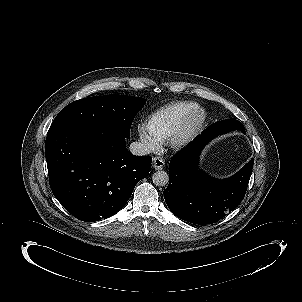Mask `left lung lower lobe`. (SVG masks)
<instances>
[{
  "mask_svg": "<svg viewBox=\"0 0 302 302\" xmlns=\"http://www.w3.org/2000/svg\"><path fill=\"white\" fill-rule=\"evenodd\" d=\"M219 135L209 126L174 155L169 164V185L165 202L178 218L194 224H211L232 211L244 198L253 169L252 158L230 178L214 179L199 170L204 145Z\"/></svg>",
  "mask_w": 302,
  "mask_h": 302,
  "instance_id": "1",
  "label": "left lung lower lobe"
}]
</instances>
